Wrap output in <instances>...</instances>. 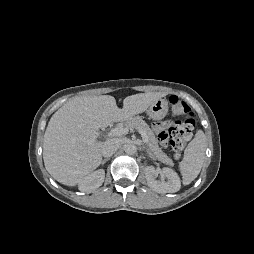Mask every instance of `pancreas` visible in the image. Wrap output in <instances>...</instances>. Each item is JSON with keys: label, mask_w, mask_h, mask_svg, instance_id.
<instances>
[{"label": "pancreas", "mask_w": 254, "mask_h": 254, "mask_svg": "<svg viewBox=\"0 0 254 254\" xmlns=\"http://www.w3.org/2000/svg\"><path fill=\"white\" fill-rule=\"evenodd\" d=\"M123 125L130 130H143L148 138L147 141V148L149 151V154L153 157L161 161L162 163H165L167 165H172L173 161L171 158H169L161 148L158 146V142L155 138V135L149 125L139 116H132L125 120L123 122Z\"/></svg>", "instance_id": "1"}]
</instances>
